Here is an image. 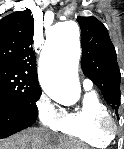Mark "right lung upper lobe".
Returning <instances> with one entry per match:
<instances>
[{"label":"right lung upper lobe","mask_w":124,"mask_h":149,"mask_svg":"<svg viewBox=\"0 0 124 149\" xmlns=\"http://www.w3.org/2000/svg\"><path fill=\"white\" fill-rule=\"evenodd\" d=\"M33 35L34 20L29 10L0 20V66L20 71L38 83Z\"/></svg>","instance_id":"right-lung-upper-lobe-1"}]
</instances>
